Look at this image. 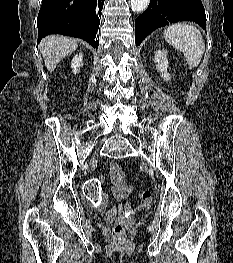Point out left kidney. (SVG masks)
Returning <instances> with one entry per match:
<instances>
[{
	"instance_id": "obj_1",
	"label": "left kidney",
	"mask_w": 233,
	"mask_h": 263,
	"mask_svg": "<svg viewBox=\"0 0 233 263\" xmlns=\"http://www.w3.org/2000/svg\"><path fill=\"white\" fill-rule=\"evenodd\" d=\"M154 62L156 63V68L161 73V77L165 81L170 80V75L167 72L168 68V59H167V50H158L155 52Z\"/></svg>"
}]
</instances>
